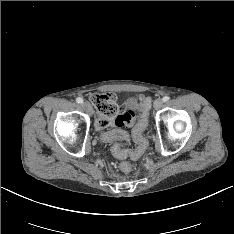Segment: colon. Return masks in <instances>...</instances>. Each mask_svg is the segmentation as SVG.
<instances>
[{"mask_svg": "<svg viewBox=\"0 0 234 234\" xmlns=\"http://www.w3.org/2000/svg\"><path fill=\"white\" fill-rule=\"evenodd\" d=\"M91 103L98 111L99 117L97 121L98 128L109 127V131L102 134L101 139L104 142H113L111 148L112 154L118 159H132L136 160L141 157L146 148V140L143 136V130L146 125V115L149 114L148 107L151 106V96L145 95L142 102V119L134 127L133 138L137 143L134 149L126 148L124 145L128 144L131 135L122 127L126 122L127 114L120 110L116 98L113 94H94L90 97ZM123 172H130L132 165L129 162L121 164Z\"/></svg>", "mask_w": 234, "mask_h": 234, "instance_id": "colon-1", "label": "colon"}]
</instances>
